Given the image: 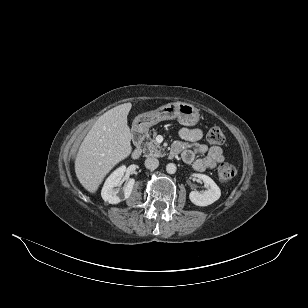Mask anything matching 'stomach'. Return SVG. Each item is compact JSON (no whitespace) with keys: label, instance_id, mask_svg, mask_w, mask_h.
I'll return each instance as SVG.
<instances>
[{"label":"stomach","instance_id":"obj_1","mask_svg":"<svg viewBox=\"0 0 308 308\" xmlns=\"http://www.w3.org/2000/svg\"><path fill=\"white\" fill-rule=\"evenodd\" d=\"M175 118L182 125L193 126L199 121V112L189 103H168L156 110L138 115L134 120V127L138 130H147L162 120Z\"/></svg>","mask_w":308,"mask_h":308}]
</instances>
